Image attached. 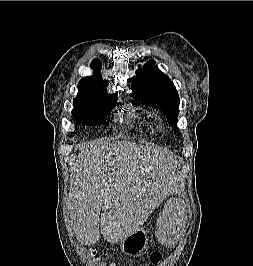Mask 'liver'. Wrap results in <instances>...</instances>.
Listing matches in <instances>:
<instances>
[{
    "label": "liver",
    "mask_w": 253,
    "mask_h": 266,
    "mask_svg": "<svg viewBox=\"0 0 253 266\" xmlns=\"http://www.w3.org/2000/svg\"><path fill=\"white\" fill-rule=\"evenodd\" d=\"M168 160L161 148L129 141L94 143L81 150L71 196L78 241L93 245L101 234L121 243L141 228L156 206L159 176Z\"/></svg>",
    "instance_id": "1"
}]
</instances>
